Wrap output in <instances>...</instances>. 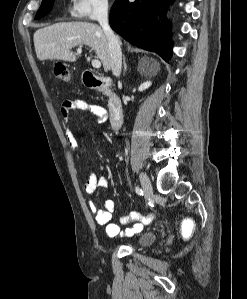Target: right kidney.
Here are the masks:
<instances>
[{"mask_svg":"<svg viewBox=\"0 0 247 299\" xmlns=\"http://www.w3.org/2000/svg\"><path fill=\"white\" fill-rule=\"evenodd\" d=\"M151 81H146L144 83H142L140 86H139V91H144L145 89L149 88L151 86Z\"/></svg>","mask_w":247,"mask_h":299,"instance_id":"ca27d5eb","label":"right kidney"}]
</instances>
